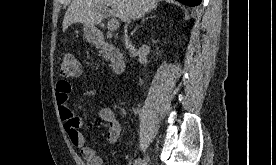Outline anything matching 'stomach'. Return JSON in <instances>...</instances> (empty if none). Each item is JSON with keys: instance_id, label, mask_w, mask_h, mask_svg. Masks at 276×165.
<instances>
[{"instance_id": "0dacf381", "label": "stomach", "mask_w": 276, "mask_h": 165, "mask_svg": "<svg viewBox=\"0 0 276 165\" xmlns=\"http://www.w3.org/2000/svg\"><path fill=\"white\" fill-rule=\"evenodd\" d=\"M84 37L87 41L93 42L97 39L98 31L94 27L84 26Z\"/></svg>"}]
</instances>
